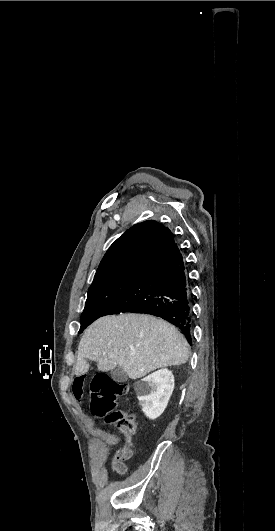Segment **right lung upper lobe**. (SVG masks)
Here are the masks:
<instances>
[{
  "mask_svg": "<svg viewBox=\"0 0 275 531\" xmlns=\"http://www.w3.org/2000/svg\"><path fill=\"white\" fill-rule=\"evenodd\" d=\"M173 239L172 232L154 220L135 224L107 250L94 280L125 268L147 266Z\"/></svg>",
  "mask_w": 275,
  "mask_h": 531,
  "instance_id": "right-lung-upper-lobe-1",
  "label": "right lung upper lobe"
}]
</instances>
